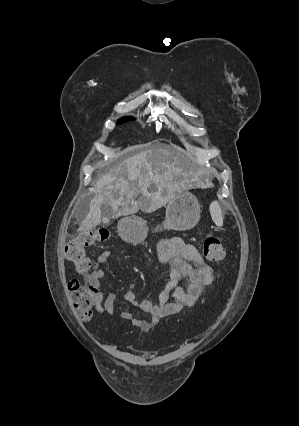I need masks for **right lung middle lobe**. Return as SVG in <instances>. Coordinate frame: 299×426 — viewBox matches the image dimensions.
<instances>
[{
  "mask_svg": "<svg viewBox=\"0 0 299 426\" xmlns=\"http://www.w3.org/2000/svg\"><path fill=\"white\" fill-rule=\"evenodd\" d=\"M129 120H134V118H132V117H124V118H122V119H120L119 121H118V124H122L123 122H126V121H129Z\"/></svg>",
  "mask_w": 299,
  "mask_h": 426,
  "instance_id": "right-lung-middle-lobe-1",
  "label": "right lung middle lobe"
}]
</instances>
